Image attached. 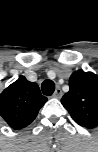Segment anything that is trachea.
I'll use <instances>...</instances> for the list:
<instances>
[{"mask_svg": "<svg viewBox=\"0 0 98 152\" xmlns=\"http://www.w3.org/2000/svg\"><path fill=\"white\" fill-rule=\"evenodd\" d=\"M41 90L44 95L50 96L55 90V83L52 80L47 79L41 84Z\"/></svg>", "mask_w": 98, "mask_h": 152, "instance_id": "3493384b", "label": "trachea"}]
</instances>
